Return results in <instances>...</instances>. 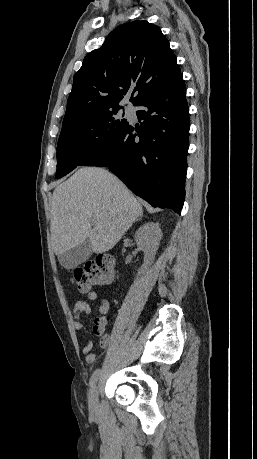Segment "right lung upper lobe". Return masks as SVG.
<instances>
[{
  "mask_svg": "<svg viewBox=\"0 0 257 459\" xmlns=\"http://www.w3.org/2000/svg\"><path fill=\"white\" fill-rule=\"evenodd\" d=\"M176 57L160 28L145 20L117 27L90 52L74 75L62 130L78 121L119 107L129 90L136 105L180 74Z\"/></svg>",
  "mask_w": 257,
  "mask_h": 459,
  "instance_id": "right-lung-upper-lobe-1",
  "label": "right lung upper lobe"
}]
</instances>
